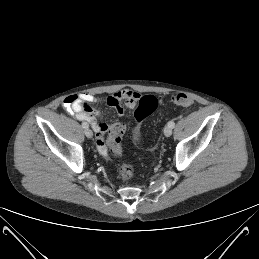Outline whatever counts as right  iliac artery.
Listing matches in <instances>:
<instances>
[{"label": "right iliac artery", "mask_w": 259, "mask_h": 259, "mask_svg": "<svg viewBox=\"0 0 259 259\" xmlns=\"http://www.w3.org/2000/svg\"><path fill=\"white\" fill-rule=\"evenodd\" d=\"M82 127L86 129V128L89 127V125H88L86 122H83V123H82Z\"/></svg>", "instance_id": "right-iliac-artery-1"}]
</instances>
